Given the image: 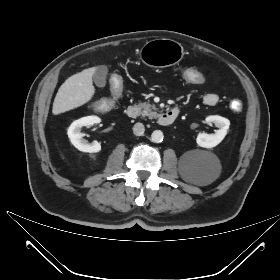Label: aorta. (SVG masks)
<instances>
[{"instance_id":"aorta-1","label":"aorta","mask_w":280,"mask_h":280,"mask_svg":"<svg viewBox=\"0 0 280 280\" xmlns=\"http://www.w3.org/2000/svg\"><path fill=\"white\" fill-rule=\"evenodd\" d=\"M163 138H164L163 132L160 131V130H155V131H153V133L151 134V140H152V142H155V143L162 142Z\"/></svg>"}]
</instances>
